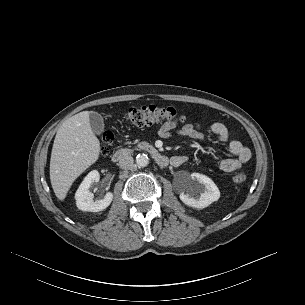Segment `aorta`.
<instances>
[{"instance_id": "1", "label": "aorta", "mask_w": 305, "mask_h": 305, "mask_svg": "<svg viewBox=\"0 0 305 305\" xmlns=\"http://www.w3.org/2000/svg\"><path fill=\"white\" fill-rule=\"evenodd\" d=\"M136 163L139 167H146L149 163V158L146 154H138L136 156Z\"/></svg>"}]
</instances>
